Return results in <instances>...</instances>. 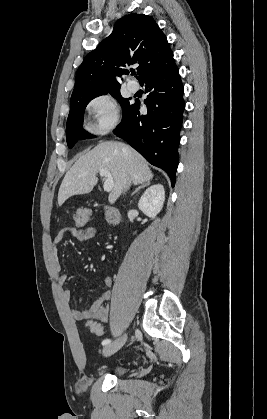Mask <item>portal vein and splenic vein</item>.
Instances as JSON below:
<instances>
[{"mask_svg":"<svg viewBox=\"0 0 267 419\" xmlns=\"http://www.w3.org/2000/svg\"><path fill=\"white\" fill-rule=\"evenodd\" d=\"M100 176L105 177V182L103 185L104 191L110 192L114 187L113 177L110 171L106 168L100 169Z\"/></svg>","mask_w":267,"mask_h":419,"instance_id":"1","label":"portal vein and splenic vein"}]
</instances>
